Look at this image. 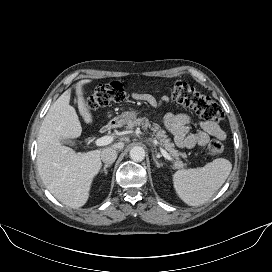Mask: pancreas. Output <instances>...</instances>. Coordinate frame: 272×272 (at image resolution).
I'll use <instances>...</instances> for the list:
<instances>
[{
    "label": "pancreas",
    "instance_id": "obj_1",
    "mask_svg": "<svg viewBox=\"0 0 272 272\" xmlns=\"http://www.w3.org/2000/svg\"><path fill=\"white\" fill-rule=\"evenodd\" d=\"M142 125V128L146 130L149 128L153 131L152 136H154L153 141L157 142L161 147H164L175 159L174 160V168L180 169L185 166L184 163L179 161V156L186 158L185 153L178 152L176 150L174 143L170 142V139L167 137L165 131L156 123H151L147 118H133L127 122V128L132 129L135 126Z\"/></svg>",
    "mask_w": 272,
    "mask_h": 272
}]
</instances>
